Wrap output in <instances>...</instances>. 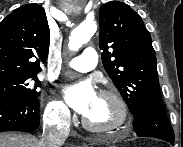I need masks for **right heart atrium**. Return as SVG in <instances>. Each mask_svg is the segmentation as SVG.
I'll list each match as a JSON object with an SVG mask.
<instances>
[{
  "mask_svg": "<svg viewBox=\"0 0 183 147\" xmlns=\"http://www.w3.org/2000/svg\"><path fill=\"white\" fill-rule=\"evenodd\" d=\"M44 120L50 126L64 129L70 125L71 113L61 100L50 97L44 107Z\"/></svg>",
  "mask_w": 183,
  "mask_h": 147,
  "instance_id": "right-heart-atrium-1",
  "label": "right heart atrium"
}]
</instances>
